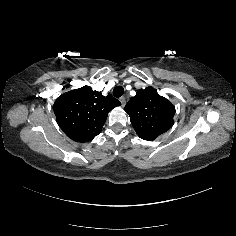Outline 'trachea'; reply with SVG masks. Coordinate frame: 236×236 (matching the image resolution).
Returning <instances> with one entry per match:
<instances>
[{"instance_id": "trachea-1", "label": "trachea", "mask_w": 236, "mask_h": 236, "mask_svg": "<svg viewBox=\"0 0 236 236\" xmlns=\"http://www.w3.org/2000/svg\"><path fill=\"white\" fill-rule=\"evenodd\" d=\"M124 93V87L119 85V86H116L114 89H113V95L114 97H121Z\"/></svg>"}]
</instances>
